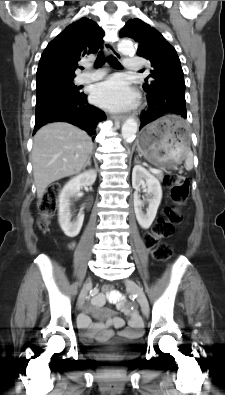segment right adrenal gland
<instances>
[{
    "instance_id": "1",
    "label": "right adrenal gland",
    "mask_w": 225,
    "mask_h": 395,
    "mask_svg": "<svg viewBox=\"0 0 225 395\" xmlns=\"http://www.w3.org/2000/svg\"><path fill=\"white\" fill-rule=\"evenodd\" d=\"M91 155L89 156V158H88V161H87V163H86V166L88 165V166H91Z\"/></svg>"
}]
</instances>
